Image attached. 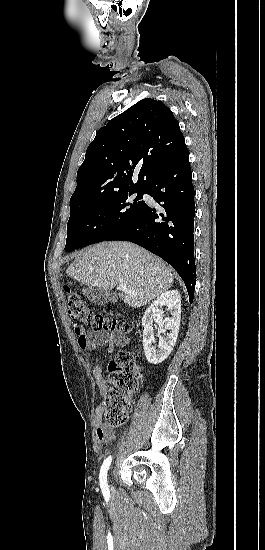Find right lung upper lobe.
I'll return each instance as SVG.
<instances>
[{
  "mask_svg": "<svg viewBox=\"0 0 265 550\" xmlns=\"http://www.w3.org/2000/svg\"><path fill=\"white\" fill-rule=\"evenodd\" d=\"M185 149L172 111L161 101L142 99L96 133L70 200L147 189Z\"/></svg>",
  "mask_w": 265,
  "mask_h": 550,
  "instance_id": "cb5924a9",
  "label": "right lung upper lobe"
}]
</instances>
